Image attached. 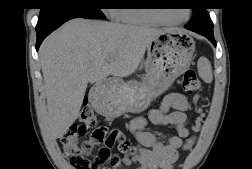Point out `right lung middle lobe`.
Instances as JSON below:
<instances>
[{
	"instance_id": "dd1d6c3e",
	"label": "right lung middle lobe",
	"mask_w": 252,
	"mask_h": 169,
	"mask_svg": "<svg viewBox=\"0 0 252 169\" xmlns=\"http://www.w3.org/2000/svg\"><path fill=\"white\" fill-rule=\"evenodd\" d=\"M101 6L102 0H43L38 22L65 14L102 19L105 15L101 11Z\"/></svg>"
}]
</instances>
